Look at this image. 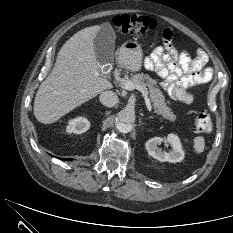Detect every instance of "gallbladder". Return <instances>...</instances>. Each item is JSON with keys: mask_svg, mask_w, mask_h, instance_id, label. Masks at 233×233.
<instances>
[{"mask_svg": "<svg viewBox=\"0 0 233 233\" xmlns=\"http://www.w3.org/2000/svg\"><path fill=\"white\" fill-rule=\"evenodd\" d=\"M115 32L109 23H103L94 38V51L99 62L106 63L115 52Z\"/></svg>", "mask_w": 233, "mask_h": 233, "instance_id": "bac80fb5", "label": "gallbladder"}]
</instances>
